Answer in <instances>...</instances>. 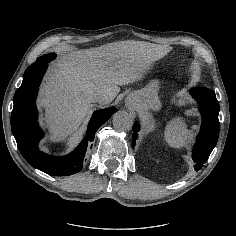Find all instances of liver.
Returning a JSON list of instances; mask_svg holds the SVG:
<instances>
[{
    "label": "liver",
    "mask_w": 236,
    "mask_h": 236,
    "mask_svg": "<svg viewBox=\"0 0 236 236\" xmlns=\"http://www.w3.org/2000/svg\"><path fill=\"white\" fill-rule=\"evenodd\" d=\"M170 50L167 45L129 40L61 57L46 79L39 101L47 108L56 141L74 133L97 91L111 94L113 99L120 86L142 81L154 60Z\"/></svg>",
    "instance_id": "1"
}]
</instances>
